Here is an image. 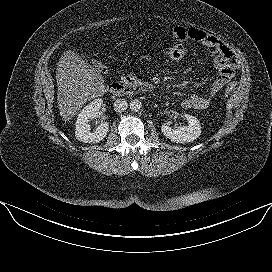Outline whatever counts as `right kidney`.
I'll return each instance as SVG.
<instances>
[{
    "mask_svg": "<svg viewBox=\"0 0 272 272\" xmlns=\"http://www.w3.org/2000/svg\"><path fill=\"white\" fill-rule=\"evenodd\" d=\"M103 106V100L98 98L87 104L77 117L75 137L78 141L84 143H97L103 140L108 131L109 124L101 122L94 132H91L89 122L96 118Z\"/></svg>",
    "mask_w": 272,
    "mask_h": 272,
    "instance_id": "right-kidney-1",
    "label": "right kidney"
}]
</instances>
